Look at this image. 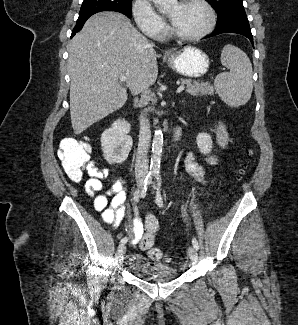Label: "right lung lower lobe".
<instances>
[{
	"label": "right lung lower lobe",
	"mask_w": 298,
	"mask_h": 325,
	"mask_svg": "<svg viewBox=\"0 0 298 325\" xmlns=\"http://www.w3.org/2000/svg\"><path fill=\"white\" fill-rule=\"evenodd\" d=\"M88 19V18H87ZM87 19H82V20H77L76 26L74 27L73 31H72V35L71 37H73L76 32L80 31L84 25V23L86 22Z\"/></svg>",
	"instance_id": "98d812e1"
}]
</instances>
